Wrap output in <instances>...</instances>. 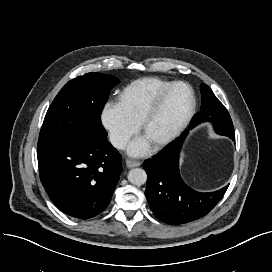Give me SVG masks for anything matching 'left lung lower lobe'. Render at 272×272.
<instances>
[{
    "label": "left lung lower lobe",
    "mask_w": 272,
    "mask_h": 272,
    "mask_svg": "<svg viewBox=\"0 0 272 272\" xmlns=\"http://www.w3.org/2000/svg\"><path fill=\"white\" fill-rule=\"evenodd\" d=\"M192 120L190 128L199 124ZM220 123V135L235 140V132L226 130V124ZM188 131L170 143L160 154L143 163L147 173L145 195L154 215L167 224L179 225L197 220L210 212L224 196L228 186L215 192H196L188 187L179 173L180 148Z\"/></svg>",
    "instance_id": "1"
}]
</instances>
